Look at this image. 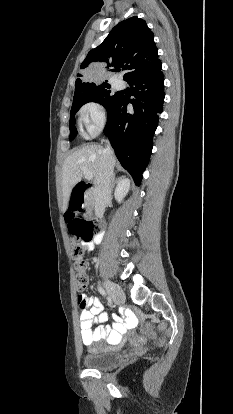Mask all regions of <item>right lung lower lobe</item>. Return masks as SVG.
Wrapping results in <instances>:
<instances>
[{
    "mask_svg": "<svg viewBox=\"0 0 233 414\" xmlns=\"http://www.w3.org/2000/svg\"><path fill=\"white\" fill-rule=\"evenodd\" d=\"M162 67L153 73L128 80L134 99L120 95L107 110L108 120L104 133L109 137L122 166L139 185L151 155L153 135L158 125L164 102ZM135 86V87H133ZM133 105L127 111V104Z\"/></svg>",
    "mask_w": 233,
    "mask_h": 414,
    "instance_id": "right-lung-lower-lobe-1",
    "label": "right lung lower lobe"
}]
</instances>
